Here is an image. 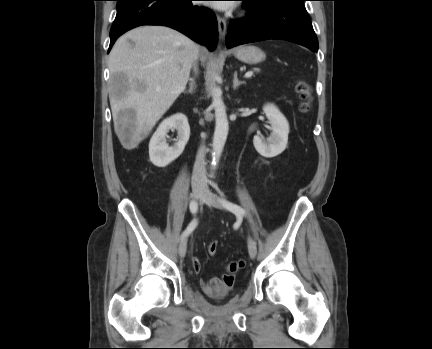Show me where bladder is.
<instances>
[{
  "label": "bladder",
  "instance_id": "bladder-1",
  "mask_svg": "<svg viewBox=\"0 0 432 349\" xmlns=\"http://www.w3.org/2000/svg\"><path fill=\"white\" fill-rule=\"evenodd\" d=\"M228 294H229V293H227V294H225V295H223V296H221V297L218 298V299L220 300L221 303L224 302V299L226 298V296H227Z\"/></svg>",
  "mask_w": 432,
  "mask_h": 349
}]
</instances>
